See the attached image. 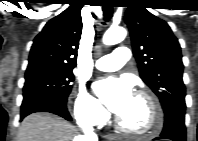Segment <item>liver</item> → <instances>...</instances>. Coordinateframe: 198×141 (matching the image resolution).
<instances>
[{
	"label": "liver",
	"instance_id": "liver-1",
	"mask_svg": "<svg viewBox=\"0 0 198 141\" xmlns=\"http://www.w3.org/2000/svg\"><path fill=\"white\" fill-rule=\"evenodd\" d=\"M73 125L50 113L27 116L19 127L17 141H79Z\"/></svg>",
	"mask_w": 198,
	"mask_h": 141
}]
</instances>
